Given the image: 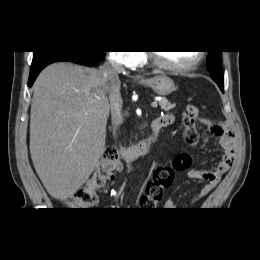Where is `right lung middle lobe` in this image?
<instances>
[{
  "label": "right lung middle lobe",
  "instance_id": "dd1d6c3e",
  "mask_svg": "<svg viewBox=\"0 0 260 260\" xmlns=\"http://www.w3.org/2000/svg\"><path fill=\"white\" fill-rule=\"evenodd\" d=\"M37 54H39V52L34 51V55H37Z\"/></svg>",
  "mask_w": 260,
  "mask_h": 260
}]
</instances>
